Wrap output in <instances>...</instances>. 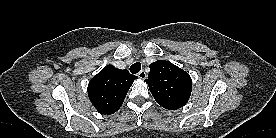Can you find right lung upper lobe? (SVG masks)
<instances>
[{
    "label": "right lung upper lobe",
    "mask_w": 276,
    "mask_h": 138,
    "mask_svg": "<svg viewBox=\"0 0 276 138\" xmlns=\"http://www.w3.org/2000/svg\"><path fill=\"white\" fill-rule=\"evenodd\" d=\"M137 76L126 69L105 66L88 84V96L100 114H113L121 106Z\"/></svg>",
    "instance_id": "obj_1"
}]
</instances>
